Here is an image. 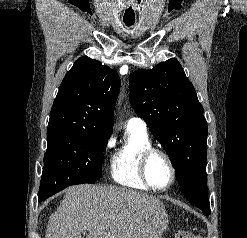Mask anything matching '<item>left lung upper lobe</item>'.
<instances>
[{"label":"left lung upper lobe","instance_id":"1","mask_svg":"<svg viewBox=\"0 0 247 238\" xmlns=\"http://www.w3.org/2000/svg\"><path fill=\"white\" fill-rule=\"evenodd\" d=\"M130 101L175 167L186 199L209 215L207 122L196 91L175 58L130 77Z\"/></svg>","mask_w":247,"mask_h":238}]
</instances>
